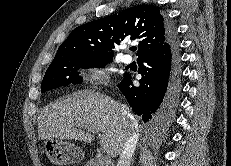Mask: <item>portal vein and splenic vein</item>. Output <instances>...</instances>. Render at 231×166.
<instances>
[{"label":"portal vein and splenic vein","mask_w":231,"mask_h":166,"mask_svg":"<svg viewBox=\"0 0 231 166\" xmlns=\"http://www.w3.org/2000/svg\"><path fill=\"white\" fill-rule=\"evenodd\" d=\"M101 162H102L103 164H105L106 166H109L110 163H111V159H110L109 156L104 155V156L101 157Z\"/></svg>","instance_id":"obj_1"}]
</instances>
